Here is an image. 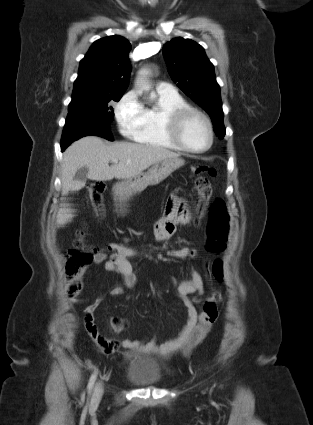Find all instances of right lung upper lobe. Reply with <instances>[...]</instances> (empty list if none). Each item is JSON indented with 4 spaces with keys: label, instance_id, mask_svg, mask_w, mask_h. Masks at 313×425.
<instances>
[{
    "label": "right lung upper lobe",
    "instance_id": "right-lung-upper-lobe-1",
    "mask_svg": "<svg viewBox=\"0 0 313 425\" xmlns=\"http://www.w3.org/2000/svg\"><path fill=\"white\" fill-rule=\"evenodd\" d=\"M130 49L129 41L117 35L95 41L80 61L72 97L124 93L131 71Z\"/></svg>",
    "mask_w": 313,
    "mask_h": 425
}]
</instances>
